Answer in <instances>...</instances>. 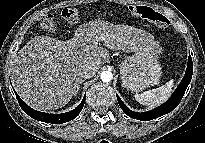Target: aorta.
<instances>
[{"instance_id":"aorta-1","label":"aorta","mask_w":205,"mask_h":143,"mask_svg":"<svg viewBox=\"0 0 205 143\" xmlns=\"http://www.w3.org/2000/svg\"><path fill=\"white\" fill-rule=\"evenodd\" d=\"M113 79V74L111 71H103L101 73V80L103 82H110Z\"/></svg>"}]
</instances>
